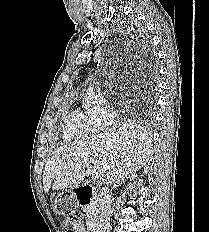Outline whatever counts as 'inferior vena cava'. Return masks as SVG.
<instances>
[{"label": "inferior vena cava", "instance_id": "602c4592", "mask_svg": "<svg viewBox=\"0 0 209 232\" xmlns=\"http://www.w3.org/2000/svg\"><path fill=\"white\" fill-rule=\"evenodd\" d=\"M111 192L108 187H105L100 194L98 202V217L96 232H110V207H111Z\"/></svg>", "mask_w": 209, "mask_h": 232}]
</instances>
